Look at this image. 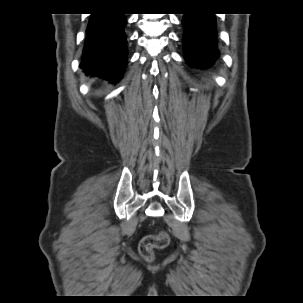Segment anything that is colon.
Instances as JSON below:
<instances>
[{
  "label": "colon",
  "mask_w": 303,
  "mask_h": 303,
  "mask_svg": "<svg viewBox=\"0 0 303 303\" xmlns=\"http://www.w3.org/2000/svg\"><path fill=\"white\" fill-rule=\"evenodd\" d=\"M169 244V236L161 231L156 235L146 237L140 244V254L148 262L154 258L155 250L164 249Z\"/></svg>",
  "instance_id": "obj_1"
}]
</instances>
